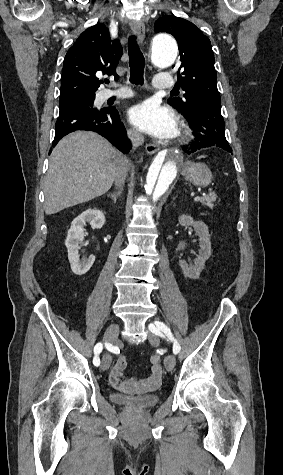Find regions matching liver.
Wrapping results in <instances>:
<instances>
[{
    "instance_id": "obj_1",
    "label": "liver",
    "mask_w": 283,
    "mask_h": 475,
    "mask_svg": "<svg viewBox=\"0 0 283 475\" xmlns=\"http://www.w3.org/2000/svg\"><path fill=\"white\" fill-rule=\"evenodd\" d=\"M122 154L95 132H73L51 154L44 188L47 216L103 196L110 190Z\"/></svg>"
}]
</instances>
